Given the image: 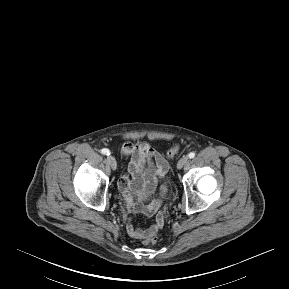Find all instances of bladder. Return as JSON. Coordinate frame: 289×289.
Segmentation results:
<instances>
[{
  "label": "bladder",
  "mask_w": 289,
  "mask_h": 289,
  "mask_svg": "<svg viewBox=\"0 0 289 289\" xmlns=\"http://www.w3.org/2000/svg\"><path fill=\"white\" fill-rule=\"evenodd\" d=\"M170 190H171V187H170V185L168 186V193H170Z\"/></svg>",
  "instance_id": "bladder-1"
}]
</instances>
